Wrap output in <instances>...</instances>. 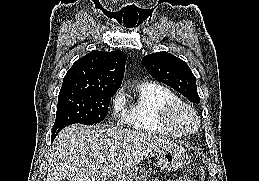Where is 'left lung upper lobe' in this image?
Here are the masks:
<instances>
[{
  "label": "left lung upper lobe",
  "instance_id": "left-lung-upper-lobe-1",
  "mask_svg": "<svg viewBox=\"0 0 259 181\" xmlns=\"http://www.w3.org/2000/svg\"><path fill=\"white\" fill-rule=\"evenodd\" d=\"M142 62L152 77L180 92L191 102H200L196 78L183 60L168 52H157L144 56Z\"/></svg>",
  "mask_w": 259,
  "mask_h": 181
}]
</instances>
